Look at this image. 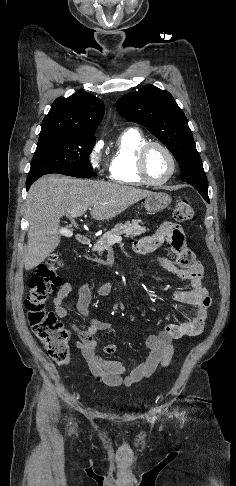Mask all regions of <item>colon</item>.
<instances>
[{
	"instance_id": "5ec220e1",
	"label": "colon",
	"mask_w": 236,
	"mask_h": 486,
	"mask_svg": "<svg viewBox=\"0 0 236 486\" xmlns=\"http://www.w3.org/2000/svg\"><path fill=\"white\" fill-rule=\"evenodd\" d=\"M174 218L178 222L194 221L195 210L187 199L176 202ZM61 260L57 254H52L40 264L30 279L29 291L25 299L30 327L44 345L50 357L58 365H66L70 361L68 345L69 334L53 311L46 309L47 299L61 285L58 270Z\"/></svg>"
}]
</instances>
